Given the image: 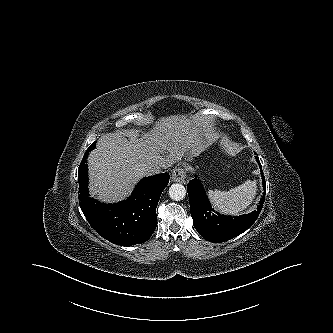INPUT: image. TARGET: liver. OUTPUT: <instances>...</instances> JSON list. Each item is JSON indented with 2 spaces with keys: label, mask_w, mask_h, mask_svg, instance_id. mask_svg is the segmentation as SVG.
<instances>
[{
  "label": "liver",
  "mask_w": 333,
  "mask_h": 333,
  "mask_svg": "<svg viewBox=\"0 0 333 333\" xmlns=\"http://www.w3.org/2000/svg\"><path fill=\"white\" fill-rule=\"evenodd\" d=\"M204 136L201 121L187 115L162 117L141 138L126 130L104 134L88 156L91 196L105 203L124 200L148 175V165L191 161L204 151Z\"/></svg>",
  "instance_id": "6515ba94"
}]
</instances>
